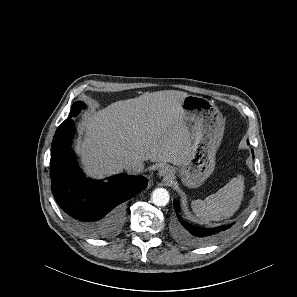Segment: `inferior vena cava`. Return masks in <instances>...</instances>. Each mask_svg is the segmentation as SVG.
Here are the masks:
<instances>
[{"mask_svg": "<svg viewBox=\"0 0 297 297\" xmlns=\"http://www.w3.org/2000/svg\"><path fill=\"white\" fill-rule=\"evenodd\" d=\"M124 169L130 173H139L142 172L144 169V163L139 158H129L124 163Z\"/></svg>", "mask_w": 297, "mask_h": 297, "instance_id": "obj_1", "label": "inferior vena cava"}]
</instances>
